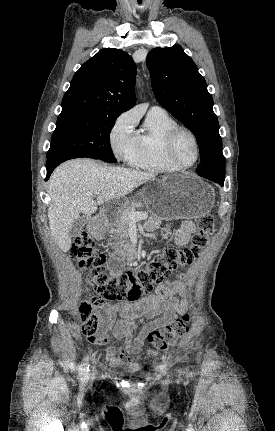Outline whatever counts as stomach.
<instances>
[{"instance_id":"obj_1","label":"stomach","mask_w":275,"mask_h":431,"mask_svg":"<svg viewBox=\"0 0 275 431\" xmlns=\"http://www.w3.org/2000/svg\"><path fill=\"white\" fill-rule=\"evenodd\" d=\"M150 211L162 219H197L209 214L214 207V190L195 178L175 175L157 181L155 189L140 192ZM127 204V200H117L113 209ZM114 210V212H115ZM113 213L105 218L102 225L94 226L93 233L102 236L113 227Z\"/></svg>"}]
</instances>
